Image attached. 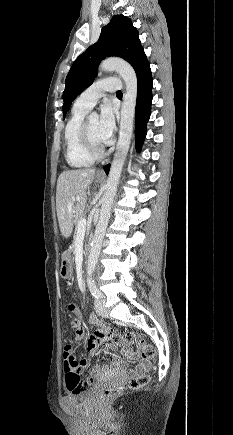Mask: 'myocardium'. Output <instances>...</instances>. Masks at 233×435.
<instances>
[{
    "label": "myocardium",
    "mask_w": 233,
    "mask_h": 435,
    "mask_svg": "<svg viewBox=\"0 0 233 435\" xmlns=\"http://www.w3.org/2000/svg\"><path fill=\"white\" fill-rule=\"evenodd\" d=\"M80 137L83 144V147L86 151V153L94 160L101 159L105 157L107 154L106 147H97L93 144L90 132H89V125H88V119H84L81 129H80Z\"/></svg>",
    "instance_id": "myocardium-1"
}]
</instances>
